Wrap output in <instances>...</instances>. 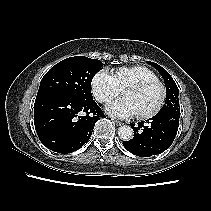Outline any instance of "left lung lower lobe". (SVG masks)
<instances>
[{"instance_id":"1","label":"left lung lower lobe","mask_w":211,"mask_h":211,"mask_svg":"<svg viewBox=\"0 0 211 211\" xmlns=\"http://www.w3.org/2000/svg\"><path fill=\"white\" fill-rule=\"evenodd\" d=\"M179 118L170 114H156L147 122L131 124L134 137L124 141L123 146L129 152L140 157H150L164 152L175 139Z\"/></svg>"}]
</instances>
